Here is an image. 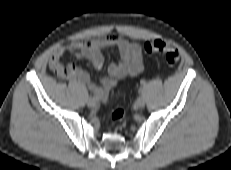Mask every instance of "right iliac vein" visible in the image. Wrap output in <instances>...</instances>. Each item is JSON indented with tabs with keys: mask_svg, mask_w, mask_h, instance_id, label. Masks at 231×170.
Listing matches in <instances>:
<instances>
[{
	"mask_svg": "<svg viewBox=\"0 0 231 170\" xmlns=\"http://www.w3.org/2000/svg\"><path fill=\"white\" fill-rule=\"evenodd\" d=\"M87 105L90 108H95L97 106V100H95L93 98H89L87 101Z\"/></svg>",
	"mask_w": 231,
	"mask_h": 170,
	"instance_id": "right-iliac-vein-1",
	"label": "right iliac vein"
}]
</instances>
